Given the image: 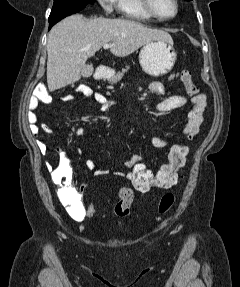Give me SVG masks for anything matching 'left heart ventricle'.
Returning a JSON list of instances; mask_svg holds the SVG:
<instances>
[{"label":"left heart ventricle","mask_w":240,"mask_h":287,"mask_svg":"<svg viewBox=\"0 0 240 287\" xmlns=\"http://www.w3.org/2000/svg\"><path fill=\"white\" fill-rule=\"evenodd\" d=\"M155 10L162 16H171L175 12L174 0H152Z\"/></svg>","instance_id":"b2bd125f"}]
</instances>
